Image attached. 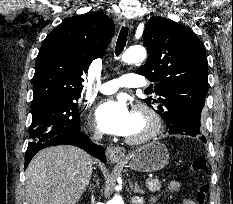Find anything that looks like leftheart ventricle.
<instances>
[{
    "mask_svg": "<svg viewBox=\"0 0 233 204\" xmlns=\"http://www.w3.org/2000/svg\"><path fill=\"white\" fill-rule=\"evenodd\" d=\"M149 127L147 119L141 114L133 113L132 124L126 136H137L144 133Z\"/></svg>",
    "mask_w": 233,
    "mask_h": 204,
    "instance_id": "left-heart-ventricle-1",
    "label": "left heart ventricle"
}]
</instances>
